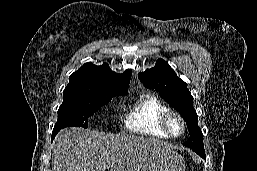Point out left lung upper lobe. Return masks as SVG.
Wrapping results in <instances>:
<instances>
[{
	"instance_id": "left-lung-upper-lobe-1",
	"label": "left lung upper lobe",
	"mask_w": 257,
	"mask_h": 171,
	"mask_svg": "<svg viewBox=\"0 0 257 171\" xmlns=\"http://www.w3.org/2000/svg\"><path fill=\"white\" fill-rule=\"evenodd\" d=\"M138 77L145 86L160 92L161 97L181 113L190 133V138L184 145L192 150L204 149L203 134L198 126L193 97L187 89V84L176 75L168 63L159 59L153 68L140 72Z\"/></svg>"
}]
</instances>
